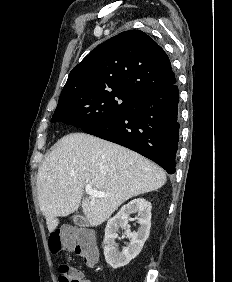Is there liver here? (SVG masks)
<instances>
[{"instance_id": "6515ba94", "label": "liver", "mask_w": 232, "mask_h": 282, "mask_svg": "<svg viewBox=\"0 0 232 282\" xmlns=\"http://www.w3.org/2000/svg\"><path fill=\"white\" fill-rule=\"evenodd\" d=\"M165 172L140 154L85 133L62 137L40 165L38 203L49 232L58 217L81 205L91 226L106 221L128 199L161 188ZM86 185L105 197L83 198Z\"/></svg>"}]
</instances>
